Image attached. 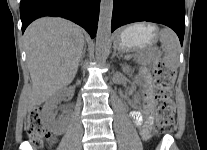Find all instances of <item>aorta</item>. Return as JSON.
<instances>
[{
  "label": "aorta",
  "mask_w": 207,
  "mask_h": 150,
  "mask_svg": "<svg viewBox=\"0 0 207 150\" xmlns=\"http://www.w3.org/2000/svg\"><path fill=\"white\" fill-rule=\"evenodd\" d=\"M113 12V0H101L98 29L96 35V58L104 60L111 45V20Z\"/></svg>",
  "instance_id": "aorta-1"
}]
</instances>
